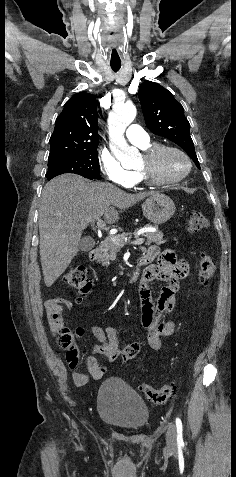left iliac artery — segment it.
Returning a JSON list of instances; mask_svg holds the SVG:
<instances>
[{
	"mask_svg": "<svg viewBox=\"0 0 236 477\" xmlns=\"http://www.w3.org/2000/svg\"><path fill=\"white\" fill-rule=\"evenodd\" d=\"M176 427H177V442L179 444H183V436H182L183 426L179 418H176Z\"/></svg>",
	"mask_w": 236,
	"mask_h": 477,
	"instance_id": "1",
	"label": "left iliac artery"
}]
</instances>
